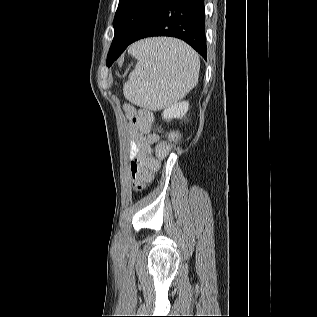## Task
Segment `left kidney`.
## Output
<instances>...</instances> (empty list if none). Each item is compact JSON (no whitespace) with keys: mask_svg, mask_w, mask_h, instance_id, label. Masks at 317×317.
Segmentation results:
<instances>
[{"mask_svg":"<svg viewBox=\"0 0 317 317\" xmlns=\"http://www.w3.org/2000/svg\"><path fill=\"white\" fill-rule=\"evenodd\" d=\"M189 109V102L182 101L179 103H174L173 105L164 109L162 113L163 119L169 121L173 118L181 119L185 116Z\"/></svg>","mask_w":317,"mask_h":317,"instance_id":"1","label":"left kidney"}]
</instances>
